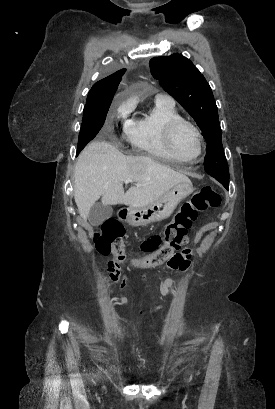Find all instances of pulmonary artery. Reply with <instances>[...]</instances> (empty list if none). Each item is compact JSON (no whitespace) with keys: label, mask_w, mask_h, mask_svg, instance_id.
Here are the masks:
<instances>
[{"label":"pulmonary artery","mask_w":275,"mask_h":409,"mask_svg":"<svg viewBox=\"0 0 275 409\" xmlns=\"http://www.w3.org/2000/svg\"><path fill=\"white\" fill-rule=\"evenodd\" d=\"M155 100L159 104L174 106V100L168 95H158Z\"/></svg>","instance_id":"pulmonary-artery-1"}]
</instances>
